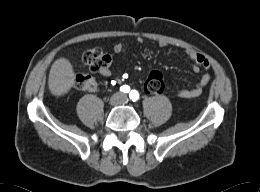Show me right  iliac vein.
<instances>
[{
  "label": "right iliac vein",
  "instance_id": "obj_1",
  "mask_svg": "<svg viewBox=\"0 0 260 192\" xmlns=\"http://www.w3.org/2000/svg\"><path fill=\"white\" fill-rule=\"evenodd\" d=\"M120 97L118 94H115L114 96L111 97L110 99V104L111 105H117L119 103Z\"/></svg>",
  "mask_w": 260,
  "mask_h": 192
}]
</instances>
